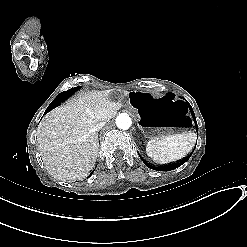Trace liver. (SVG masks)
<instances>
[{"label":"liver","mask_w":247,"mask_h":247,"mask_svg":"<svg viewBox=\"0 0 247 247\" xmlns=\"http://www.w3.org/2000/svg\"><path fill=\"white\" fill-rule=\"evenodd\" d=\"M121 108L109 91H91L46 114L37 128V146L49 174L67 182L87 176L99 151L95 125L109 122Z\"/></svg>","instance_id":"obj_1"}]
</instances>
